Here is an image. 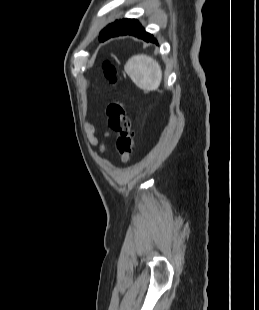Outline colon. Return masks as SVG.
<instances>
[{
	"label": "colon",
	"mask_w": 259,
	"mask_h": 310,
	"mask_svg": "<svg viewBox=\"0 0 259 310\" xmlns=\"http://www.w3.org/2000/svg\"><path fill=\"white\" fill-rule=\"evenodd\" d=\"M104 74L112 83H116V69L110 63L103 65ZM108 128L117 134L116 150L123 163L131 159L134 147V132L131 128L130 119L126 113L124 104L121 101H111L105 109Z\"/></svg>",
	"instance_id": "obj_1"
}]
</instances>
